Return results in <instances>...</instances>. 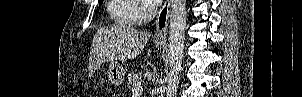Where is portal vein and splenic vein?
<instances>
[{"label": "portal vein and splenic vein", "mask_w": 302, "mask_h": 97, "mask_svg": "<svg viewBox=\"0 0 302 97\" xmlns=\"http://www.w3.org/2000/svg\"><path fill=\"white\" fill-rule=\"evenodd\" d=\"M142 86L140 85V84H138V85H135L134 87H133V89H132V92L134 93V94H139V93H141L142 92Z\"/></svg>", "instance_id": "portal-vein-and-splenic-vein-1"}]
</instances>
